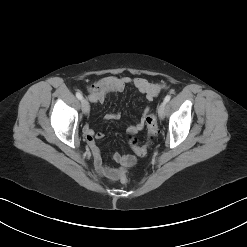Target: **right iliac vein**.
<instances>
[{
  "label": "right iliac vein",
  "instance_id": "right-iliac-vein-1",
  "mask_svg": "<svg viewBox=\"0 0 247 247\" xmlns=\"http://www.w3.org/2000/svg\"><path fill=\"white\" fill-rule=\"evenodd\" d=\"M82 111L85 115L89 114L90 112V105L86 99H82L81 101Z\"/></svg>",
  "mask_w": 247,
  "mask_h": 247
}]
</instances>
